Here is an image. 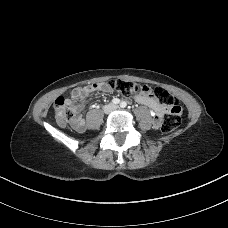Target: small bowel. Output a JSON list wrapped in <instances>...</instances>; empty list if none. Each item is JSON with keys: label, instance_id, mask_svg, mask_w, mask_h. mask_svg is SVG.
I'll list each match as a JSON object with an SVG mask.
<instances>
[{"label": "small bowel", "instance_id": "obj_1", "mask_svg": "<svg viewBox=\"0 0 228 228\" xmlns=\"http://www.w3.org/2000/svg\"><path fill=\"white\" fill-rule=\"evenodd\" d=\"M103 91L110 92V89L103 86L102 84H91L85 87H76L69 91L65 102L67 105L71 106L75 113H78L84 102V98L94 92ZM135 100L141 104L150 107L155 114V121L158 125L164 115V109L159 103V101L151 94L147 92L144 94H137L134 96ZM84 126V121L81 117H77L73 122V127L77 130H82Z\"/></svg>", "mask_w": 228, "mask_h": 228}]
</instances>
